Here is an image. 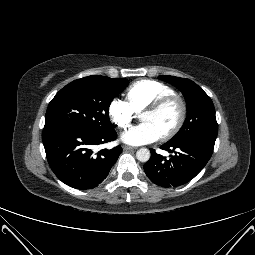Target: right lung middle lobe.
<instances>
[{"label":"right lung middle lobe","mask_w":255,"mask_h":255,"mask_svg":"<svg viewBox=\"0 0 255 255\" xmlns=\"http://www.w3.org/2000/svg\"><path fill=\"white\" fill-rule=\"evenodd\" d=\"M128 80L92 75L75 80L62 88L49 103L44 129L78 127L94 134L114 128L109 106Z\"/></svg>","instance_id":"right-lung-middle-lobe-1"}]
</instances>
